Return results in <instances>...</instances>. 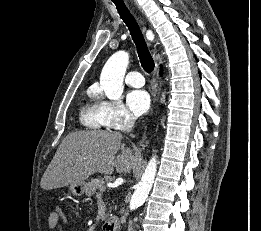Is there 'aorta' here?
I'll use <instances>...</instances> for the list:
<instances>
[{
  "instance_id": "762f6f07",
  "label": "aorta",
  "mask_w": 261,
  "mask_h": 231,
  "mask_svg": "<svg viewBox=\"0 0 261 231\" xmlns=\"http://www.w3.org/2000/svg\"><path fill=\"white\" fill-rule=\"evenodd\" d=\"M129 63V55L125 51L113 54L104 65L100 84L108 99L117 101L123 93V79ZM157 171V157L153 156L148 162L146 169L133 193L129 208L135 210L140 207L147 198L154 183Z\"/></svg>"
}]
</instances>
